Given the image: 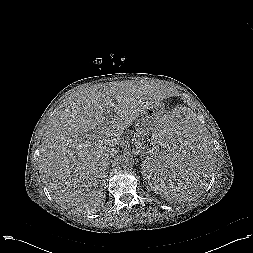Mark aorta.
<instances>
[{
    "mask_svg": "<svg viewBox=\"0 0 253 253\" xmlns=\"http://www.w3.org/2000/svg\"><path fill=\"white\" fill-rule=\"evenodd\" d=\"M118 162L120 166L123 167L124 169L132 168L134 165L133 155L128 152L123 153L122 155L118 157Z\"/></svg>",
    "mask_w": 253,
    "mask_h": 253,
    "instance_id": "762f6f07",
    "label": "aorta"
}]
</instances>
